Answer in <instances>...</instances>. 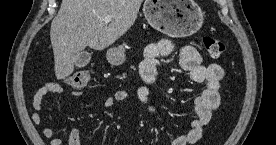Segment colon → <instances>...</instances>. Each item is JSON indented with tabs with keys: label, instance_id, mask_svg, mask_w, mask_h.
Here are the masks:
<instances>
[{
	"label": "colon",
	"instance_id": "1",
	"mask_svg": "<svg viewBox=\"0 0 276 145\" xmlns=\"http://www.w3.org/2000/svg\"><path fill=\"white\" fill-rule=\"evenodd\" d=\"M203 45L209 55L213 58L220 57L225 51V44L211 36L203 38ZM91 77L90 71L86 68H80L66 77V83L74 88H81L87 85Z\"/></svg>",
	"mask_w": 276,
	"mask_h": 145
}]
</instances>
